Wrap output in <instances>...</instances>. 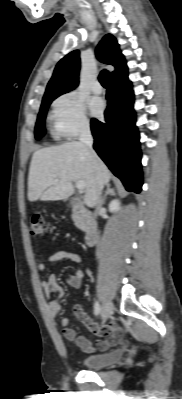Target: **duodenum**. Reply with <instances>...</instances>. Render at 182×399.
I'll use <instances>...</instances> for the list:
<instances>
[{
  "mask_svg": "<svg viewBox=\"0 0 182 399\" xmlns=\"http://www.w3.org/2000/svg\"><path fill=\"white\" fill-rule=\"evenodd\" d=\"M75 210L84 224L85 245L91 247L96 244L98 239V225L90 213L82 206L81 202L75 205Z\"/></svg>",
  "mask_w": 182,
  "mask_h": 399,
  "instance_id": "1",
  "label": "duodenum"
}]
</instances>
